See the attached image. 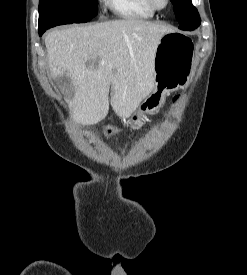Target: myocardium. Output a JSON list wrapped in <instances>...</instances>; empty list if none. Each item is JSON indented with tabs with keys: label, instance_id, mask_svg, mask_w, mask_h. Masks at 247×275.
<instances>
[{
	"label": "myocardium",
	"instance_id": "1",
	"mask_svg": "<svg viewBox=\"0 0 247 275\" xmlns=\"http://www.w3.org/2000/svg\"><path fill=\"white\" fill-rule=\"evenodd\" d=\"M147 2L155 11L165 10L170 4V0H165L163 5H159L156 0H147Z\"/></svg>",
	"mask_w": 247,
	"mask_h": 275
}]
</instances>
